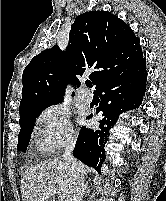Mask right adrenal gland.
Wrapping results in <instances>:
<instances>
[{"label": "right adrenal gland", "instance_id": "right-adrenal-gland-1", "mask_svg": "<svg viewBox=\"0 0 166 201\" xmlns=\"http://www.w3.org/2000/svg\"><path fill=\"white\" fill-rule=\"evenodd\" d=\"M89 191H90V188L88 186V182H86V184H85V196H88Z\"/></svg>", "mask_w": 166, "mask_h": 201}]
</instances>
